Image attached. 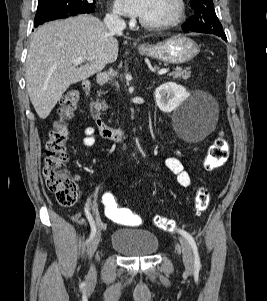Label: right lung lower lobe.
Returning <instances> with one entry per match:
<instances>
[{
  "mask_svg": "<svg viewBox=\"0 0 267 301\" xmlns=\"http://www.w3.org/2000/svg\"><path fill=\"white\" fill-rule=\"evenodd\" d=\"M75 15H78V14H69V13H65V14H58V15H52V16H49L47 17L46 19L42 20V21H39V22H36L35 23V27L47 22V21H51V20H55V19H60V18H67L68 16H75Z\"/></svg>",
  "mask_w": 267,
  "mask_h": 301,
  "instance_id": "98d812e1",
  "label": "right lung lower lobe"
}]
</instances>
